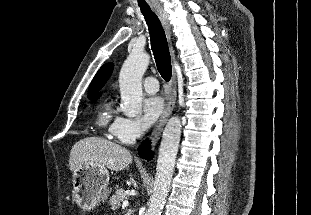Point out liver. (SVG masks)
<instances>
[{"label": "liver", "instance_id": "1", "mask_svg": "<svg viewBox=\"0 0 311 215\" xmlns=\"http://www.w3.org/2000/svg\"><path fill=\"white\" fill-rule=\"evenodd\" d=\"M131 162L132 155L128 149L103 138L87 137L72 147L69 168L74 172L78 166L87 164L118 172Z\"/></svg>", "mask_w": 311, "mask_h": 215}]
</instances>
